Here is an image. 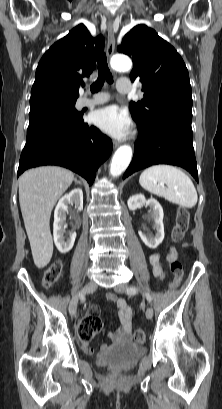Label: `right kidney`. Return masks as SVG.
<instances>
[{"instance_id": "1", "label": "right kidney", "mask_w": 222, "mask_h": 409, "mask_svg": "<svg viewBox=\"0 0 222 409\" xmlns=\"http://www.w3.org/2000/svg\"><path fill=\"white\" fill-rule=\"evenodd\" d=\"M68 204H74L78 211L83 209V192L80 188H75L69 194H65L58 202L54 211L53 236L54 243L60 253L69 252L75 242L76 232L66 233L64 222L68 212Z\"/></svg>"}]
</instances>
